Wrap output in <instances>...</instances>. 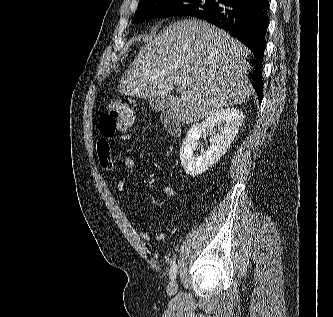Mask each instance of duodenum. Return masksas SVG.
I'll list each match as a JSON object with an SVG mask.
<instances>
[{
	"mask_svg": "<svg viewBox=\"0 0 333 317\" xmlns=\"http://www.w3.org/2000/svg\"><path fill=\"white\" fill-rule=\"evenodd\" d=\"M162 123L168 133L177 136L180 133V125L178 120L170 113H164Z\"/></svg>",
	"mask_w": 333,
	"mask_h": 317,
	"instance_id": "1",
	"label": "duodenum"
}]
</instances>
